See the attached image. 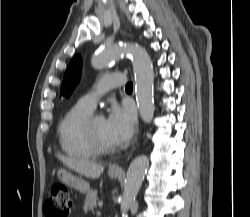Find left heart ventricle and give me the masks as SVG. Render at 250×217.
I'll return each instance as SVG.
<instances>
[{"instance_id":"1","label":"left heart ventricle","mask_w":250,"mask_h":217,"mask_svg":"<svg viewBox=\"0 0 250 217\" xmlns=\"http://www.w3.org/2000/svg\"><path fill=\"white\" fill-rule=\"evenodd\" d=\"M93 128L98 139L108 146H114L115 144L109 137L106 119L103 116H98L94 120Z\"/></svg>"}]
</instances>
